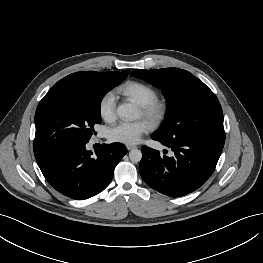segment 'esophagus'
Here are the masks:
<instances>
[{
  "label": "esophagus",
  "mask_w": 263,
  "mask_h": 263,
  "mask_svg": "<svg viewBox=\"0 0 263 263\" xmlns=\"http://www.w3.org/2000/svg\"><path fill=\"white\" fill-rule=\"evenodd\" d=\"M126 147H127V149H128V150H132V149H135V148H137V147H136V146H134V145H127Z\"/></svg>",
  "instance_id": "esophagus-1"
}]
</instances>
